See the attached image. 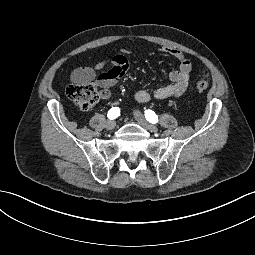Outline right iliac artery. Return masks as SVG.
I'll return each mask as SVG.
<instances>
[{
	"mask_svg": "<svg viewBox=\"0 0 255 255\" xmlns=\"http://www.w3.org/2000/svg\"><path fill=\"white\" fill-rule=\"evenodd\" d=\"M120 115V109L119 107H113L108 111V118L110 120L116 119Z\"/></svg>",
	"mask_w": 255,
	"mask_h": 255,
	"instance_id": "82829eb1",
	"label": "right iliac artery"
}]
</instances>
